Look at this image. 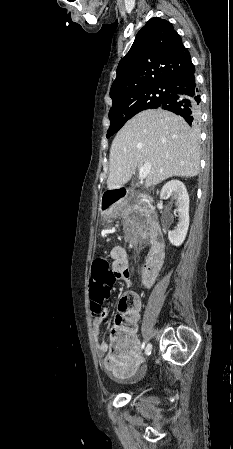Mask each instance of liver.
<instances>
[{
	"instance_id": "liver-1",
	"label": "liver",
	"mask_w": 233,
	"mask_h": 449,
	"mask_svg": "<svg viewBox=\"0 0 233 449\" xmlns=\"http://www.w3.org/2000/svg\"><path fill=\"white\" fill-rule=\"evenodd\" d=\"M198 136L180 116L162 109L145 110L131 118L110 148L109 190L126 184L136 167L150 163L145 186L178 177H194L200 170Z\"/></svg>"
}]
</instances>
